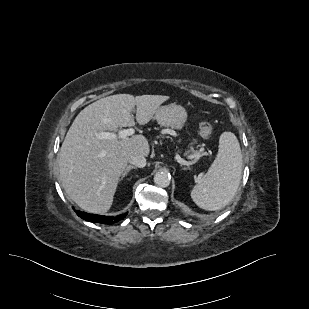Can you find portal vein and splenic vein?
I'll use <instances>...</instances> for the list:
<instances>
[{"mask_svg":"<svg viewBox=\"0 0 309 309\" xmlns=\"http://www.w3.org/2000/svg\"><path fill=\"white\" fill-rule=\"evenodd\" d=\"M134 134V129L130 128V129H123V130H120L118 132V134H115V133H111V132H102V133H99L97 135V137L99 139H116V138H120V139H124L126 138L127 136H130ZM195 159H199L201 157L200 154H196L195 156H193Z\"/></svg>","mask_w":309,"mask_h":309,"instance_id":"obj_1","label":"portal vein and splenic vein"}]
</instances>
